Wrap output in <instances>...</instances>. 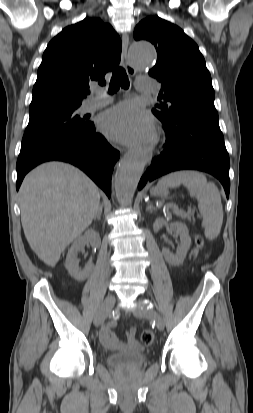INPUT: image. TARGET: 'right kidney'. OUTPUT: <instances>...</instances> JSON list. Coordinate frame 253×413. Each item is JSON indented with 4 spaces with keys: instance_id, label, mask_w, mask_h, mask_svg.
I'll return each mask as SVG.
<instances>
[{
    "instance_id": "right-kidney-1",
    "label": "right kidney",
    "mask_w": 253,
    "mask_h": 413,
    "mask_svg": "<svg viewBox=\"0 0 253 413\" xmlns=\"http://www.w3.org/2000/svg\"><path fill=\"white\" fill-rule=\"evenodd\" d=\"M90 243L92 247L98 248L101 245V239L99 234L94 229L87 230L83 236L79 237L74 241L70 247L67 257H66V268L69 274L78 281H84L89 276L90 272L93 269V264L88 263L85 265L84 269L80 270L79 259L77 258V253L85 244Z\"/></svg>"
}]
</instances>
